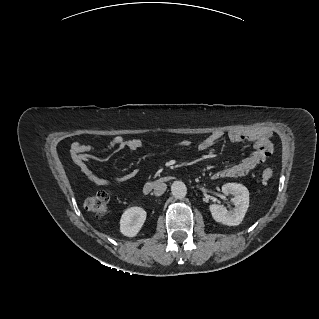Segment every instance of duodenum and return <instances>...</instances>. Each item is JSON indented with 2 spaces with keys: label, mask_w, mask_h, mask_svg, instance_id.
I'll return each mask as SVG.
<instances>
[{
  "label": "duodenum",
  "mask_w": 319,
  "mask_h": 319,
  "mask_svg": "<svg viewBox=\"0 0 319 319\" xmlns=\"http://www.w3.org/2000/svg\"><path fill=\"white\" fill-rule=\"evenodd\" d=\"M169 178H161V179H158V180H151V181H148L144 187H143V191L145 194H148L150 193L154 187H156L158 184L160 183H163V182H166L168 181Z\"/></svg>",
  "instance_id": "duodenum-1"
}]
</instances>
